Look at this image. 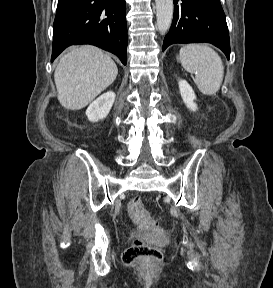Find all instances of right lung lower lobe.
<instances>
[{"mask_svg": "<svg viewBox=\"0 0 273 288\" xmlns=\"http://www.w3.org/2000/svg\"><path fill=\"white\" fill-rule=\"evenodd\" d=\"M125 0H58L51 62L72 44H92L126 65Z\"/></svg>", "mask_w": 273, "mask_h": 288, "instance_id": "1", "label": "right lung lower lobe"}]
</instances>
